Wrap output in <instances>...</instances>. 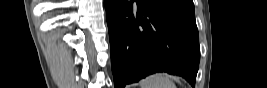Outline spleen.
<instances>
[{
	"instance_id": "spleen-1",
	"label": "spleen",
	"mask_w": 267,
	"mask_h": 88,
	"mask_svg": "<svg viewBox=\"0 0 267 88\" xmlns=\"http://www.w3.org/2000/svg\"><path fill=\"white\" fill-rule=\"evenodd\" d=\"M140 88H176V85L168 74L155 73L143 79Z\"/></svg>"
}]
</instances>
